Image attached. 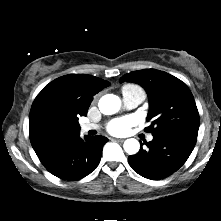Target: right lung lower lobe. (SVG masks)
Masks as SVG:
<instances>
[{
	"label": "right lung lower lobe",
	"mask_w": 221,
	"mask_h": 221,
	"mask_svg": "<svg viewBox=\"0 0 221 221\" xmlns=\"http://www.w3.org/2000/svg\"><path fill=\"white\" fill-rule=\"evenodd\" d=\"M106 137L77 135L62 143L41 161L53 175L64 180H78L90 174L99 164Z\"/></svg>",
	"instance_id": "right-lung-lower-lobe-1"
}]
</instances>
